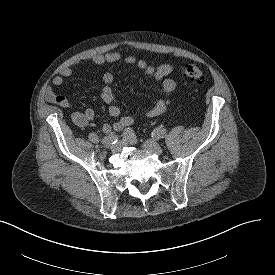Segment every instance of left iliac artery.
I'll list each match as a JSON object with an SVG mask.
<instances>
[{
	"label": "left iliac artery",
	"instance_id": "44dca946",
	"mask_svg": "<svg viewBox=\"0 0 275 275\" xmlns=\"http://www.w3.org/2000/svg\"><path fill=\"white\" fill-rule=\"evenodd\" d=\"M152 137L154 139H160L166 137V129L163 127L155 128L152 132Z\"/></svg>",
	"mask_w": 275,
	"mask_h": 275
}]
</instances>
